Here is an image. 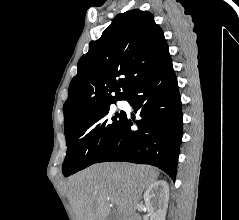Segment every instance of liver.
I'll return each instance as SVG.
<instances>
[{
  "mask_svg": "<svg viewBox=\"0 0 239 220\" xmlns=\"http://www.w3.org/2000/svg\"><path fill=\"white\" fill-rule=\"evenodd\" d=\"M159 176L157 169L129 163H99L71 176L64 190L76 220H107L110 203L117 220H133L143 191Z\"/></svg>",
  "mask_w": 239,
  "mask_h": 220,
  "instance_id": "obj_1",
  "label": "liver"
}]
</instances>
